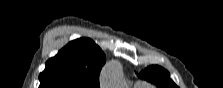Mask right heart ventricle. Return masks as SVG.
Listing matches in <instances>:
<instances>
[{
  "label": "right heart ventricle",
  "mask_w": 223,
  "mask_h": 88,
  "mask_svg": "<svg viewBox=\"0 0 223 88\" xmlns=\"http://www.w3.org/2000/svg\"><path fill=\"white\" fill-rule=\"evenodd\" d=\"M135 88H148L145 85H141V86H136Z\"/></svg>",
  "instance_id": "e07e8e85"
}]
</instances>
